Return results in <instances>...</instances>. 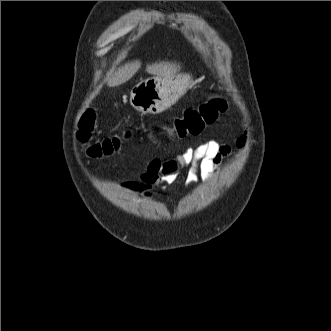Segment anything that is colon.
Wrapping results in <instances>:
<instances>
[{"mask_svg":"<svg viewBox=\"0 0 331 331\" xmlns=\"http://www.w3.org/2000/svg\"><path fill=\"white\" fill-rule=\"evenodd\" d=\"M227 108L226 102L218 97H213L202 103L198 108L187 109L183 116L176 118L167 128L178 137L195 136L202 132L206 125L213 123ZM95 115L87 111L80 123L79 139H89L94 127ZM123 137L113 136L91 145L88 154L92 157H102L116 151Z\"/></svg>","mask_w":331,"mask_h":331,"instance_id":"colon-1","label":"colon"}]
</instances>
